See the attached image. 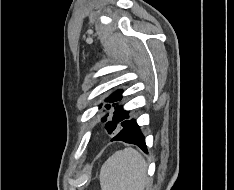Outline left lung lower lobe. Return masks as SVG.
Masks as SVG:
<instances>
[{"label": "left lung lower lobe", "mask_w": 234, "mask_h": 190, "mask_svg": "<svg viewBox=\"0 0 234 190\" xmlns=\"http://www.w3.org/2000/svg\"><path fill=\"white\" fill-rule=\"evenodd\" d=\"M124 141L139 146L144 152H147L144 136L142 135L138 124L135 119H127L119 132L111 141Z\"/></svg>", "instance_id": "left-lung-lower-lobe-1"}]
</instances>
